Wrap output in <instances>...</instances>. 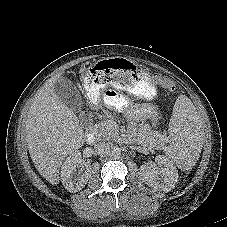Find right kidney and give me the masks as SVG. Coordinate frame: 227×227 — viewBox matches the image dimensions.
<instances>
[{"label": "right kidney", "instance_id": "ca27d5eb", "mask_svg": "<svg viewBox=\"0 0 227 227\" xmlns=\"http://www.w3.org/2000/svg\"><path fill=\"white\" fill-rule=\"evenodd\" d=\"M90 166L82 160L79 152L69 155L61 167L64 187L72 193L82 190L90 178Z\"/></svg>", "mask_w": 227, "mask_h": 227}]
</instances>
